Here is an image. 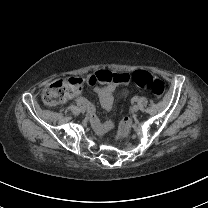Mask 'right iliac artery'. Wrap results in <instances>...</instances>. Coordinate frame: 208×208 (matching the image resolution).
I'll return each mask as SVG.
<instances>
[{"instance_id": "obj_1", "label": "right iliac artery", "mask_w": 208, "mask_h": 208, "mask_svg": "<svg viewBox=\"0 0 208 208\" xmlns=\"http://www.w3.org/2000/svg\"><path fill=\"white\" fill-rule=\"evenodd\" d=\"M77 106H79L80 108L83 107L81 103H77Z\"/></svg>"}]
</instances>
